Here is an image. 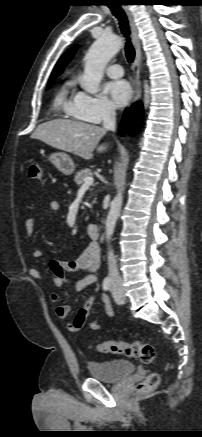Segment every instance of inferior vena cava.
Here are the masks:
<instances>
[{
  "mask_svg": "<svg viewBox=\"0 0 202 437\" xmlns=\"http://www.w3.org/2000/svg\"><path fill=\"white\" fill-rule=\"evenodd\" d=\"M116 113L113 107L108 106L104 110L103 113V127L106 130H112L114 131L116 129ZM108 265H109V275L113 282H118L121 280L118 267H117V261L115 259V256L113 254V251L110 250L108 253Z\"/></svg>",
  "mask_w": 202,
  "mask_h": 437,
  "instance_id": "inferior-vena-cava-1",
  "label": "inferior vena cava"
}]
</instances>
